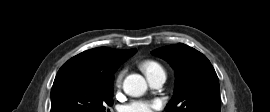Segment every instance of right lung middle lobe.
<instances>
[{
  "label": "right lung middle lobe",
  "instance_id": "right-lung-middle-lobe-1",
  "mask_svg": "<svg viewBox=\"0 0 270 112\" xmlns=\"http://www.w3.org/2000/svg\"><path fill=\"white\" fill-rule=\"evenodd\" d=\"M113 81L114 77L94 73L58 71L51 90V112H110Z\"/></svg>",
  "mask_w": 270,
  "mask_h": 112
}]
</instances>
